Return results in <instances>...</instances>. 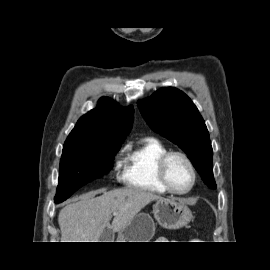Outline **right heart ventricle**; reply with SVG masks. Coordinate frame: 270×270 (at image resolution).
Instances as JSON below:
<instances>
[{
    "mask_svg": "<svg viewBox=\"0 0 270 270\" xmlns=\"http://www.w3.org/2000/svg\"><path fill=\"white\" fill-rule=\"evenodd\" d=\"M167 152V147L156 138L149 137L140 141L126 155L122 177L125 185L153 194L167 193L157 172L158 162Z\"/></svg>",
    "mask_w": 270,
    "mask_h": 270,
    "instance_id": "e07e8e85",
    "label": "right heart ventricle"
}]
</instances>
